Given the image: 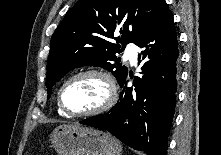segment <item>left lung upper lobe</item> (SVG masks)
Instances as JSON below:
<instances>
[{
  "label": "left lung upper lobe",
  "instance_id": "left-lung-upper-lobe-1",
  "mask_svg": "<svg viewBox=\"0 0 221 155\" xmlns=\"http://www.w3.org/2000/svg\"><path fill=\"white\" fill-rule=\"evenodd\" d=\"M163 3L165 0H79L51 38L48 98L60 78L85 65L111 71L120 83L128 69L119 64L115 54L122 52L127 43H137Z\"/></svg>",
  "mask_w": 221,
  "mask_h": 155
}]
</instances>
